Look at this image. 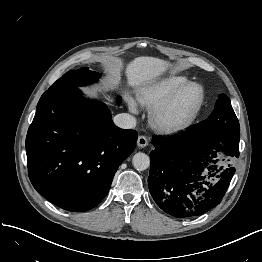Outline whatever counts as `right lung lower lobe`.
Instances as JSON below:
<instances>
[{
    "mask_svg": "<svg viewBox=\"0 0 262 262\" xmlns=\"http://www.w3.org/2000/svg\"><path fill=\"white\" fill-rule=\"evenodd\" d=\"M137 138L136 131L115 126L105 104L85 99L78 88L47 90L27 132L29 178L58 207L87 211L106 196Z\"/></svg>",
    "mask_w": 262,
    "mask_h": 262,
    "instance_id": "1",
    "label": "right lung lower lobe"
}]
</instances>
